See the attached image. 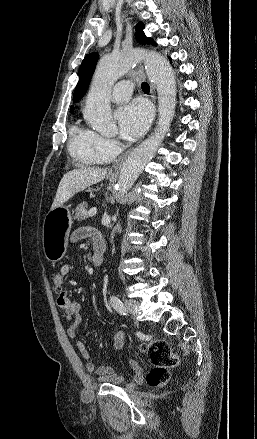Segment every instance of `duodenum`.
Segmentation results:
<instances>
[{
    "instance_id": "duodenum-1",
    "label": "duodenum",
    "mask_w": 257,
    "mask_h": 439,
    "mask_svg": "<svg viewBox=\"0 0 257 439\" xmlns=\"http://www.w3.org/2000/svg\"><path fill=\"white\" fill-rule=\"evenodd\" d=\"M105 242L103 240H98L94 242L93 244V254H92V261L94 265L99 266L103 262V256L105 252Z\"/></svg>"
}]
</instances>
